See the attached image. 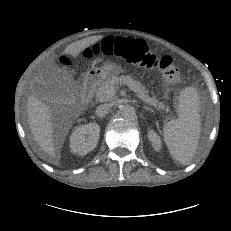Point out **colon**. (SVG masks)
Masks as SVG:
<instances>
[{
  "instance_id": "5ec220e1",
  "label": "colon",
  "mask_w": 231,
  "mask_h": 231,
  "mask_svg": "<svg viewBox=\"0 0 231 231\" xmlns=\"http://www.w3.org/2000/svg\"><path fill=\"white\" fill-rule=\"evenodd\" d=\"M94 54L117 57L129 64L148 68L158 69L163 73L165 82L169 85L177 84L180 81V71L171 56H158L148 49L146 44L132 37H108L100 43L92 45Z\"/></svg>"
}]
</instances>
